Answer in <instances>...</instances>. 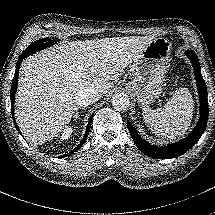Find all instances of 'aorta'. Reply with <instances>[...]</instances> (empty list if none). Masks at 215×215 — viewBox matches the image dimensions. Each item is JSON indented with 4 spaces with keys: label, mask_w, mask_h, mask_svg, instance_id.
<instances>
[{
    "label": "aorta",
    "mask_w": 215,
    "mask_h": 215,
    "mask_svg": "<svg viewBox=\"0 0 215 215\" xmlns=\"http://www.w3.org/2000/svg\"><path fill=\"white\" fill-rule=\"evenodd\" d=\"M112 106L117 111H125L130 106V99L126 95L116 94L112 98Z\"/></svg>",
    "instance_id": "obj_1"
}]
</instances>
